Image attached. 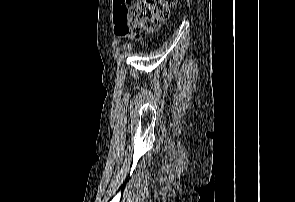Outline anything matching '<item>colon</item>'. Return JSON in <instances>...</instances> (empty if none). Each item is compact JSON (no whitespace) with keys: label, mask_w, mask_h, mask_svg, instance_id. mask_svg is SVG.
<instances>
[{"label":"colon","mask_w":295,"mask_h":202,"mask_svg":"<svg viewBox=\"0 0 295 202\" xmlns=\"http://www.w3.org/2000/svg\"><path fill=\"white\" fill-rule=\"evenodd\" d=\"M177 0H127L124 9L117 12L118 34L133 40L141 39L148 32L159 29L169 17L170 8Z\"/></svg>","instance_id":"5ec220e1"}]
</instances>
